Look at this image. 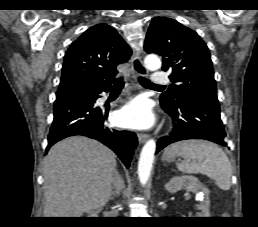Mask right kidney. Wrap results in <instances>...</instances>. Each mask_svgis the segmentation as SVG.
Here are the masks:
<instances>
[{
    "label": "right kidney",
    "instance_id": "ca27d5eb",
    "mask_svg": "<svg viewBox=\"0 0 258 227\" xmlns=\"http://www.w3.org/2000/svg\"><path fill=\"white\" fill-rule=\"evenodd\" d=\"M88 217H96V213L95 212H91L90 215H88Z\"/></svg>",
    "mask_w": 258,
    "mask_h": 227
}]
</instances>
